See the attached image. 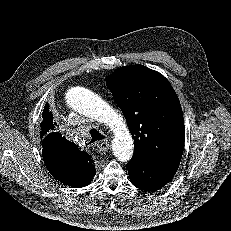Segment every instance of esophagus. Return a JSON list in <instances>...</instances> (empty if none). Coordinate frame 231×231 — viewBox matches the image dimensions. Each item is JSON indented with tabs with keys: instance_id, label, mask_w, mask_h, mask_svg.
<instances>
[{
	"instance_id": "34e87169",
	"label": "esophagus",
	"mask_w": 231,
	"mask_h": 231,
	"mask_svg": "<svg viewBox=\"0 0 231 231\" xmlns=\"http://www.w3.org/2000/svg\"><path fill=\"white\" fill-rule=\"evenodd\" d=\"M109 148H110V142L108 140L99 141L97 143V151L99 153H105L109 150Z\"/></svg>"
}]
</instances>
